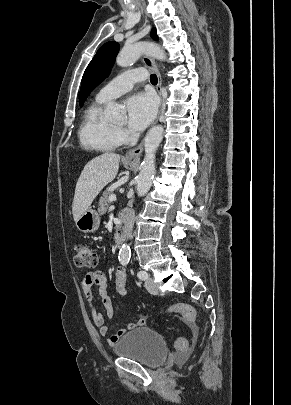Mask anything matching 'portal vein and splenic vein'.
<instances>
[{
    "mask_svg": "<svg viewBox=\"0 0 291 405\" xmlns=\"http://www.w3.org/2000/svg\"><path fill=\"white\" fill-rule=\"evenodd\" d=\"M109 200L110 201H115L116 200V195L115 194L110 195Z\"/></svg>",
    "mask_w": 291,
    "mask_h": 405,
    "instance_id": "obj_1",
    "label": "portal vein and splenic vein"
}]
</instances>
